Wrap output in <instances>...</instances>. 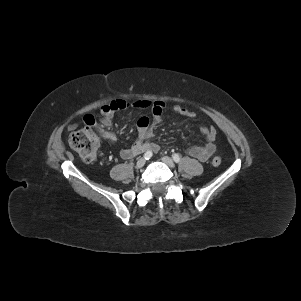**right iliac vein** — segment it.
Wrapping results in <instances>:
<instances>
[{"instance_id": "63e3f726", "label": "right iliac vein", "mask_w": 301, "mask_h": 301, "mask_svg": "<svg viewBox=\"0 0 301 301\" xmlns=\"http://www.w3.org/2000/svg\"><path fill=\"white\" fill-rule=\"evenodd\" d=\"M146 163V159L145 158H140L137 163H136V168L140 169L142 168Z\"/></svg>"}]
</instances>
